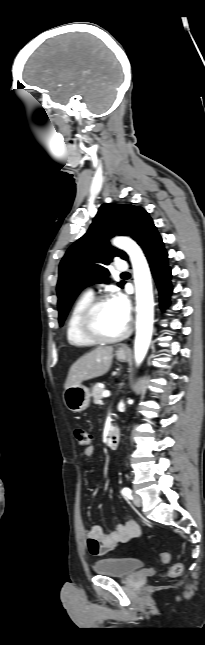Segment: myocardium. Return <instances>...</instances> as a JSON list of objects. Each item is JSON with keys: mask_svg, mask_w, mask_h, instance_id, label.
<instances>
[{"mask_svg": "<svg viewBox=\"0 0 205 645\" xmlns=\"http://www.w3.org/2000/svg\"><path fill=\"white\" fill-rule=\"evenodd\" d=\"M110 301L107 296H100L92 299L82 313L81 328L83 333L96 343H111L124 339L130 332V325L127 324L125 329L119 334L108 336L101 333L96 326V315L99 308Z\"/></svg>", "mask_w": 205, "mask_h": 645, "instance_id": "1", "label": "myocardium"}]
</instances>
